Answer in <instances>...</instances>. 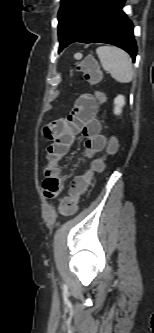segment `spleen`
Here are the masks:
<instances>
[{
  "label": "spleen",
  "instance_id": "1",
  "mask_svg": "<svg viewBox=\"0 0 154 333\" xmlns=\"http://www.w3.org/2000/svg\"><path fill=\"white\" fill-rule=\"evenodd\" d=\"M101 65L112 78L121 83L132 81L134 71L130 56L117 47L101 46L96 49Z\"/></svg>",
  "mask_w": 154,
  "mask_h": 333
}]
</instances>
